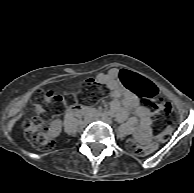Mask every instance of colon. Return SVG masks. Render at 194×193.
Segmentation results:
<instances>
[{"instance_id":"5ec220e1","label":"colon","mask_w":194,"mask_h":193,"mask_svg":"<svg viewBox=\"0 0 194 193\" xmlns=\"http://www.w3.org/2000/svg\"><path fill=\"white\" fill-rule=\"evenodd\" d=\"M120 80L127 88L133 90L138 98L151 108L153 113L161 114L162 120L155 121L154 130L157 132L158 138H165L173 129L172 122L167 120V117L172 112L171 103L165 101L155 91L152 84L141 76L129 71H122L120 73ZM99 85L94 79L86 80L82 85L83 98L90 102L94 101L99 94ZM40 104H47L52 111L57 112L63 107V98L56 92L48 91L40 96ZM41 113L45 114L47 110L42 108ZM23 126L27 139L35 148L41 151L53 149L54 140L49 135L48 128L41 117L26 119ZM127 147L136 155H146L154 148V144L143 147L137 142L130 140L127 143Z\"/></svg>"}]
</instances>
